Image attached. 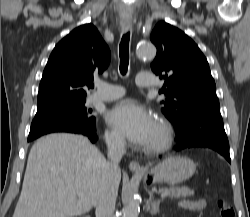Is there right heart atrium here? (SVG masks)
<instances>
[{"mask_svg": "<svg viewBox=\"0 0 250 217\" xmlns=\"http://www.w3.org/2000/svg\"><path fill=\"white\" fill-rule=\"evenodd\" d=\"M105 139L110 146L123 147L125 144L123 136L116 130L109 129L105 132Z\"/></svg>", "mask_w": 250, "mask_h": 217, "instance_id": "1", "label": "right heart atrium"}]
</instances>
